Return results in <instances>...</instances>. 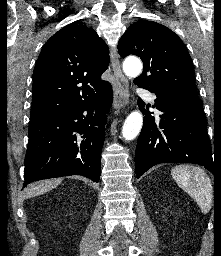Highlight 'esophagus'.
Returning <instances> with one entry per match:
<instances>
[{
    "label": "esophagus",
    "instance_id": "esophagus-1",
    "mask_svg": "<svg viewBox=\"0 0 221 256\" xmlns=\"http://www.w3.org/2000/svg\"><path fill=\"white\" fill-rule=\"evenodd\" d=\"M111 65L115 76L113 107L115 113H119V111L124 109L129 103V83L122 73L115 47L111 48Z\"/></svg>",
    "mask_w": 221,
    "mask_h": 256
}]
</instances>
